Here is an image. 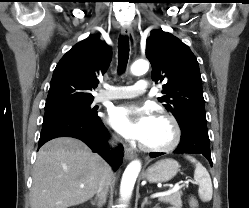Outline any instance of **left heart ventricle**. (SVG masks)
Returning a JSON list of instances; mask_svg holds the SVG:
<instances>
[{"instance_id":"left-heart-ventricle-1","label":"left heart ventricle","mask_w":249,"mask_h":208,"mask_svg":"<svg viewBox=\"0 0 249 208\" xmlns=\"http://www.w3.org/2000/svg\"><path fill=\"white\" fill-rule=\"evenodd\" d=\"M172 138L170 125L158 118H154L151 131L144 144L151 146H161L168 143Z\"/></svg>"}]
</instances>
